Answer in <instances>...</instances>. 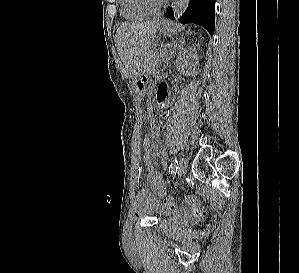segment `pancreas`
I'll list each match as a JSON object with an SVG mask.
<instances>
[{
	"instance_id": "1",
	"label": "pancreas",
	"mask_w": 299,
	"mask_h": 273,
	"mask_svg": "<svg viewBox=\"0 0 299 273\" xmlns=\"http://www.w3.org/2000/svg\"><path fill=\"white\" fill-rule=\"evenodd\" d=\"M161 59L159 56L155 57L153 51H149L143 61V68L148 74H152L156 71Z\"/></svg>"
}]
</instances>
